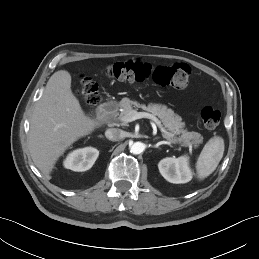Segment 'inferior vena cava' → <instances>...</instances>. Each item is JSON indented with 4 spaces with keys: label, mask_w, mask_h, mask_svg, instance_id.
Wrapping results in <instances>:
<instances>
[{
    "label": "inferior vena cava",
    "mask_w": 259,
    "mask_h": 259,
    "mask_svg": "<svg viewBox=\"0 0 259 259\" xmlns=\"http://www.w3.org/2000/svg\"><path fill=\"white\" fill-rule=\"evenodd\" d=\"M105 136L111 141H119L124 137V132L118 128H110L105 131Z\"/></svg>",
    "instance_id": "obj_1"
}]
</instances>
